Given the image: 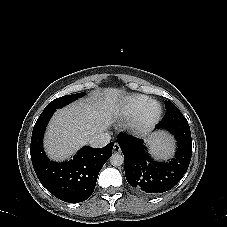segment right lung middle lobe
Returning a JSON list of instances; mask_svg holds the SVG:
<instances>
[{"label":"right lung middle lobe","mask_w":227,"mask_h":227,"mask_svg":"<svg viewBox=\"0 0 227 227\" xmlns=\"http://www.w3.org/2000/svg\"><path fill=\"white\" fill-rule=\"evenodd\" d=\"M85 93H77V94H73V95H66V96H62L60 98H57L55 100H53L52 102H50L44 109L45 110H49V109H58L61 108L67 104H69L70 102L76 100L77 98H80L82 96H84Z\"/></svg>","instance_id":"right-lung-middle-lobe-1"}]
</instances>
